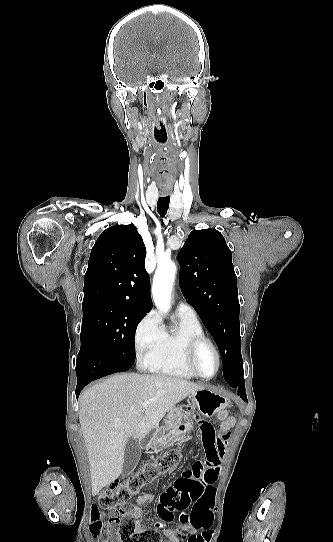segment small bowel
I'll list each match as a JSON object with an SVG mask.
<instances>
[{"mask_svg":"<svg viewBox=\"0 0 333 542\" xmlns=\"http://www.w3.org/2000/svg\"><path fill=\"white\" fill-rule=\"evenodd\" d=\"M220 418H224V414L220 413ZM212 423H217L219 419L211 417ZM236 424L234 417H228L223 419L219 426V429L214 428L212 424L203 422L198 425V430L201 431V439L203 449L211 463H216L218 460L224 458V448L227 444L229 433L231 428ZM152 494L139 495L137 498V504L131 506L130 513L135 519V526L137 531L146 530V524L141 519L144 514V510L140 507L141 504L151 503L153 501ZM211 506H203L201 504H195L190 512L187 514L183 512L179 516L180 526L175 529H163L161 536L164 538V542H180L182 538H185L188 534H192L195 530L210 531L213 528ZM191 518L197 519L193 523Z\"/></svg>","mask_w":333,"mask_h":542,"instance_id":"1","label":"small bowel"}]
</instances>
